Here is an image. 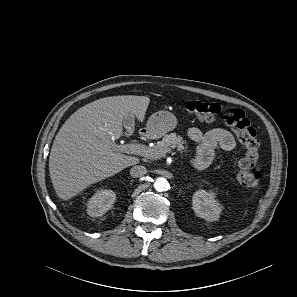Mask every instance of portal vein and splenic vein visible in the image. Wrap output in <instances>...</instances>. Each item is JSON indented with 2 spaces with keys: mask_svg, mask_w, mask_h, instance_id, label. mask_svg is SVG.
Here are the masks:
<instances>
[{
  "mask_svg": "<svg viewBox=\"0 0 297 297\" xmlns=\"http://www.w3.org/2000/svg\"><path fill=\"white\" fill-rule=\"evenodd\" d=\"M116 150L120 152H126L131 154H137L143 157L153 158L156 154L153 148L147 147L142 144H126V145H115Z\"/></svg>",
  "mask_w": 297,
  "mask_h": 297,
  "instance_id": "18ae733b",
  "label": "portal vein and splenic vein"
}]
</instances>
